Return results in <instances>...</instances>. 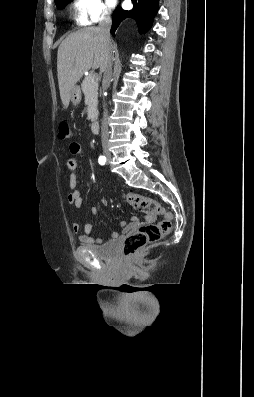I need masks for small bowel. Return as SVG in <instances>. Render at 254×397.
Listing matches in <instances>:
<instances>
[{"label": "small bowel", "instance_id": "small-bowel-1", "mask_svg": "<svg viewBox=\"0 0 254 397\" xmlns=\"http://www.w3.org/2000/svg\"><path fill=\"white\" fill-rule=\"evenodd\" d=\"M69 151L73 156H76V155H79L82 153V147L79 143L72 142L69 145ZM68 168L71 171L69 181H68V185H69L71 192L68 195V201L75 208H80L83 204V197L81 195V192L77 189L78 180H77V175L75 174V171L77 169V160L75 157H72L69 159ZM90 211L93 215H97L99 212L97 207H92ZM147 219L149 221H152L154 219V217L149 215V216H147ZM137 224H138V219L136 217H133L132 223L130 225H126L125 222H120L119 228L122 232H126V231H129V230L133 229L134 227H136ZM80 228L81 227L78 222L72 223V230L75 233H79ZM92 229H93V225L91 223H86L84 225V232L80 233L78 236V239L81 243L86 244V245H93V244L101 242V240L99 238H94L90 235L92 232ZM112 237L113 238L119 237V232H113Z\"/></svg>", "mask_w": 254, "mask_h": 397}]
</instances>
